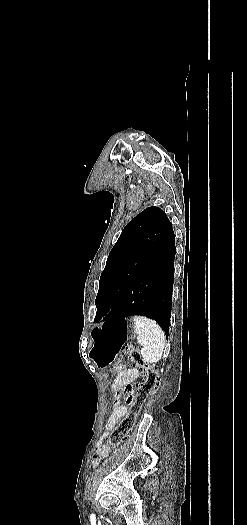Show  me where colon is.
Masks as SVG:
<instances>
[{
    "label": "colon",
    "mask_w": 247,
    "mask_h": 525,
    "mask_svg": "<svg viewBox=\"0 0 247 525\" xmlns=\"http://www.w3.org/2000/svg\"><path fill=\"white\" fill-rule=\"evenodd\" d=\"M120 365L131 363L142 372L141 378L137 380V390L135 394H128L125 397L126 415L110 431L107 437V444L117 446L122 443L130 434L133 424L139 416L144 403L148 400L160 383L158 367L155 363H148L143 359L137 345L134 342L127 344L120 355ZM113 376L118 377L122 374V369L118 366L112 368Z\"/></svg>",
    "instance_id": "colon-1"
}]
</instances>
